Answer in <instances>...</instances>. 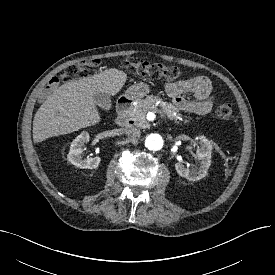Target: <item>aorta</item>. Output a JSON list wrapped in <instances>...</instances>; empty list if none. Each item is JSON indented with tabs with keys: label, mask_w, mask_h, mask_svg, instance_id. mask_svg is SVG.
I'll return each instance as SVG.
<instances>
[{
	"label": "aorta",
	"mask_w": 275,
	"mask_h": 275,
	"mask_svg": "<svg viewBox=\"0 0 275 275\" xmlns=\"http://www.w3.org/2000/svg\"><path fill=\"white\" fill-rule=\"evenodd\" d=\"M145 146L151 151H159L164 146V139L159 134H150L145 140Z\"/></svg>",
	"instance_id": "aorta-1"
}]
</instances>
